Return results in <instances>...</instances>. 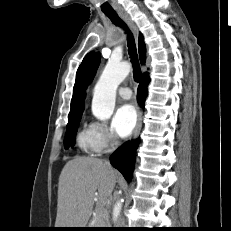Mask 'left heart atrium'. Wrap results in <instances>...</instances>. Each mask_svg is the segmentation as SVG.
Listing matches in <instances>:
<instances>
[{"label": "left heart atrium", "mask_w": 231, "mask_h": 231, "mask_svg": "<svg viewBox=\"0 0 231 231\" xmlns=\"http://www.w3.org/2000/svg\"><path fill=\"white\" fill-rule=\"evenodd\" d=\"M137 122V113L131 104L120 106L113 118V128L120 137H127L133 131Z\"/></svg>", "instance_id": "1"}]
</instances>
